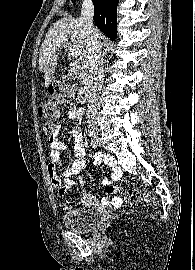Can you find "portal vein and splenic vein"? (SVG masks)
<instances>
[{
	"label": "portal vein and splenic vein",
	"instance_id": "1",
	"mask_svg": "<svg viewBox=\"0 0 195 270\" xmlns=\"http://www.w3.org/2000/svg\"><path fill=\"white\" fill-rule=\"evenodd\" d=\"M64 43H69L68 42V39H65L64 40ZM60 46V45H59ZM70 55L72 56V57H79L80 55H81V51L79 50V49H71L70 50Z\"/></svg>",
	"mask_w": 195,
	"mask_h": 270
}]
</instances>
